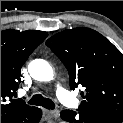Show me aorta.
Wrapping results in <instances>:
<instances>
[{"mask_svg": "<svg viewBox=\"0 0 123 123\" xmlns=\"http://www.w3.org/2000/svg\"><path fill=\"white\" fill-rule=\"evenodd\" d=\"M30 76L37 81H50L53 79V69L51 65L43 59L32 60L28 64Z\"/></svg>", "mask_w": 123, "mask_h": 123, "instance_id": "obj_1", "label": "aorta"}]
</instances>
